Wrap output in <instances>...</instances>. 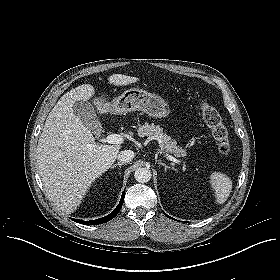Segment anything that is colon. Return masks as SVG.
Masks as SVG:
<instances>
[{"mask_svg": "<svg viewBox=\"0 0 280 280\" xmlns=\"http://www.w3.org/2000/svg\"><path fill=\"white\" fill-rule=\"evenodd\" d=\"M200 112L204 123L211 131L219 153L227 155L230 152L229 133L220 113L205 102L200 105Z\"/></svg>", "mask_w": 280, "mask_h": 280, "instance_id": "obj_1", "label": "colon"}]
</instances>
